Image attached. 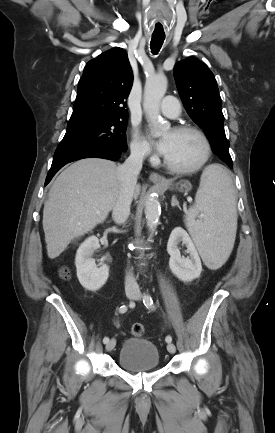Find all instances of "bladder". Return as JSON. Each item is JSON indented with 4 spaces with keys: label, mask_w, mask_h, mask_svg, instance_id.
Here are the masks:
<instances>
[{
    "label": "bladder",
    "mask_w": 275,
    "mask_h": 433,
    "mask_svg": "<svg viewBox=\"0 0 275 433\" xmlns=\"http://www.w3.org/2000/svg\"><path fill=\"white\" fill-rule=\"evenodd\" d=\"M118 362L131 373L151 371L160 367L159 350L149 340L128 338L120 347Z\"/></svg>",
    "instance_id": "1"
}]
</instances>
